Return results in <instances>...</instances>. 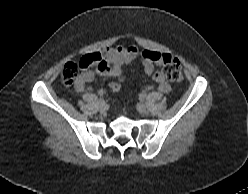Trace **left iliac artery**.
I'll list each match as a JSON object with an SVG mask.
<instances>
[{"label": "left iliac artery", "instance_id": "1", "mask_svg": "<svg viewBox=\"0 0 248 194\" xmlns=\"http://www.w3.org/2000/svg\"><path fill=\"white\" fill-rule=\"evenodd\" d=\"M146 96H147V95H146L145 93H141V94H140V99H141V100H144V99L146 98Z\"/></svg>", "mask_w": 248, "mask_h": 194}]
</instances>
